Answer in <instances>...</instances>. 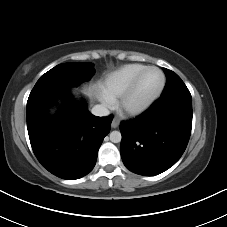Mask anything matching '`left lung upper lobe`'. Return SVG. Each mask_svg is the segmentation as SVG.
<instances>
[{"label": "left lung upper lobe", "mask_w": 227, "mask_h": 227, "mask_svg": "<svg viewBox=\"0 0 227 227\" xmlns=\"http://www.w3.org/2000/svg\"><path fill=\"white\" fill-rule=\"evenodd\" d=\"M167 83L159 100L186 99L192 100L191 94L181 78L171 70L164 68Z\"/></svg>", "instance_id": "left-lung-upper-lobe-1"}]
</instances>
